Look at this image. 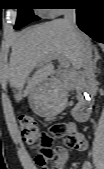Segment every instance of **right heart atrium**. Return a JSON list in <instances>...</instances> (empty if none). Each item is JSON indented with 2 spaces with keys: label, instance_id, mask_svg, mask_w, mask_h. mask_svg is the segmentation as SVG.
I'll return each instance as SVG.
<instances>
[{
  "label": "right heart atrium",
  "instance_id": "1",
  "mask_svg": "<svg viewBox=\"0 0 104 169\" xmlns=\"http://www.w3.org/2000/svg\"><path fill=\"white\" fill-rule=\"evenodd\" d=\"M62 12H63V9H46L45 15L49 17H54V16L61 14Z\"/></svg>",
  "mask_w": 104,
  "mask_h": 169
}]
</instances>
